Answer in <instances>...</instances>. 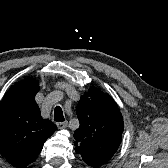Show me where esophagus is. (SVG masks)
Wrapping results in <instances>:
<instances>
[{
	"label": "esophagus",
	"instance_id": "esophagus-1",
	"mask_svg": "<svg viewBox=\"0 0 168 168\" xmlns=\"http://www.w3.org/2000/svg\"><path fill=\"white\" fill-rule=\"evenodd\" d=\"M67 125H68V122H67V121L57 123V127H58L59 129H64V128L67 127Z\"/></svg>",
	"mask_w": 168,
	"mask_h": 168
}]
</instances>
